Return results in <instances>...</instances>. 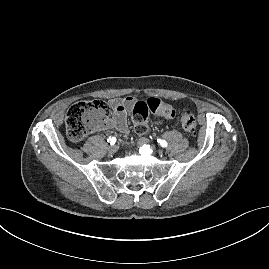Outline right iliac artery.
<instances>
[{
	"instance_id": "obj_1",
	"label": "right iliac artery",
	"mask_w": 269,
	"mask_h": 269,
	"mask_svg": "<svg viewBox=\"0 0 269 269\" xmlns=\"http://www.w3.org/2000/svg\"><path fill=\"white\" fill-rule=\"evenodd\" d=\"M107 141H108L111 145H114L115 142H116V138H115V137H109V138L107 139Z\"/></svg>"
}]
</instances>
